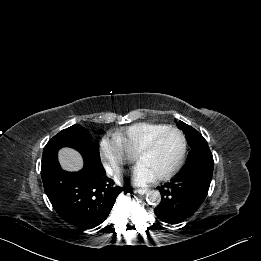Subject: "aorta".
<instances>
[{
  "label": "aorta",
  "mask_w": 261,
  "mask_h": 261,
  "mask_svg": "<svg viewBox=\"0 0 261 261\" xmlns=\"http://www.w3.org/2000/svg\"><path fill=\"white\" fill-rule=\"evenodd\" d=\"M146 201L151 205H158L161 202V194L158 190H150L146 193Z\"/></svg>",
  "instance_id": "1"
}]
</instances>
